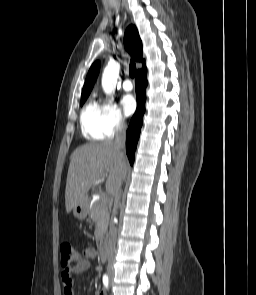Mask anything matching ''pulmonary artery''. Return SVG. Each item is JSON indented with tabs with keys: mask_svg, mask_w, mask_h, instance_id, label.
<instances>
[{
	"mask_svg": "<svg viewBox=\"0 0 256 295\" xmlns=\"http://www.w3.org/2000/svg\"><path fill=\"white\" fill-rule=\"evenodd\" d=\"M122 87L125 91H131L133 89L132 82L129 79L123 81Z\"/></svg>",
	"mask_w": 256,
	"mask_h": 295,
	"instance_id": "1",
	"label": "pulmonary artery"
}]
</instances>
